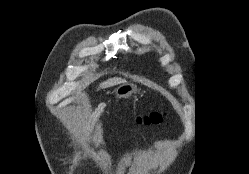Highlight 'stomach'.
Segmentation results:
<instances>
[{
    "label": "stomach",
    "mask_w": 249,
    "mask_h": 174,
    "mask_svg": "<svg viewBox=\"0 0 249 174\" xmlns=\"http://www.w3.org/2000/svg\"><path fill=\"white\" fill-rule=\"evenodd\" d=\"M137 91V87L131 83H122L115 89V97L118 99L126 98L130 96L132 93Z\"/></svg>",
    "instance_id": "stomach-1"
}]
</instances>
